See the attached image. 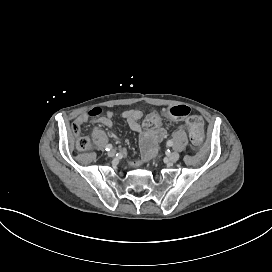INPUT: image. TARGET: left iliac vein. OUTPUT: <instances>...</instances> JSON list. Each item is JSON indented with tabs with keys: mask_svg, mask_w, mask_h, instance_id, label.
Wrapping results in <instances>:
<instances>
[{
	"mask_svg": "<svg viewBox=\"0 0 272 272\" xmlns=\"http://www.w3.org/2000/svg\"><path fill=\"white\" fill-rule=\"evenodd\" d=\"M180 155L178 152H172L167 156L169 162H176L179 159Z\"/></svg>",
	"mask_w": 272,
	"mask_h": 272,
	"instance_id": "obj_1",
	"label": "left iliac vein"
}]
</instances>
